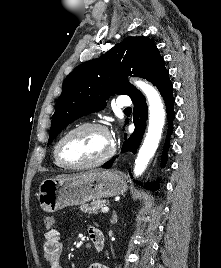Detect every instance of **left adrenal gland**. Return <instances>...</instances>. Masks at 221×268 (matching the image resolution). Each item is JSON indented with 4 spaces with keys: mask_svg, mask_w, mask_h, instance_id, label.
I'll return each instance as SVG.
<instances>
[{
    "mask_svg": "<svg viewBox=\"0 0 221 268\" xmlns=\"http://www.w3.org/2000/svg\"><path fill=\"white\" fill-rule=\"evenodd\" d=\"M117 221H118V216H117L116 212L113 211V213H112L111 223H112V224H116Z\"/></svg>",
    "mask_w": 221,
    "mask_h": 268,
    "instance_id": "1",
    "label": "left adrenal gland"
}]
</instances>
